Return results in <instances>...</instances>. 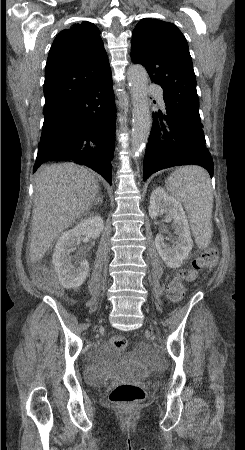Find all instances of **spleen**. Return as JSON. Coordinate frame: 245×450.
<instances>
[{
	"label": "spleen",
	"mask_w": 245,
	"mask_h": 450,
	"mask_svg": "<svg viewBox=\"0 0 245 450\" xmlns=\"http://www.w3.org/2000/svg\"><path fill=\"white\" fill-rule=\"evenodd\" d=\"M166 188L184 206L197 246L206 248L213 233V194L208 172L196 165L184 166L168 177Z\"/></svg>",
	"instance_id": "1"
}]
</instances>
